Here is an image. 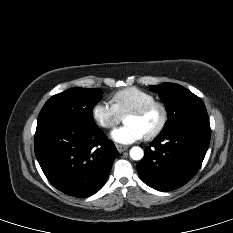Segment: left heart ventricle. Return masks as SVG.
Returning <instances> with one entry per match:
<instances>
[{
  "instance_id": "b2bd125f",
  "label": "left heart ventricle",
  "mask_w": 233,
  "mask_h": 233,
  "mask_svg": "<svg viewBox=\"0 0 233 233\" xmlns=\"http://www.w3.org/2000/svg\"><path fill=\"white\" fill-rule=\"evenodd\" d=\"M160 119V110L158 108H153L142 116L127 115L124 121L126 124L138 126L144 134L147 135L158 126Z\"/></svg>"
}]
</instances>
